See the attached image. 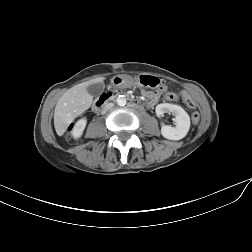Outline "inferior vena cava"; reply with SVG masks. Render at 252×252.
Instances as JSON below:
<instances>
[{
    "mask_svg": "<svg viewBox=\"0 0 252 252\" xmlns=\"http://www.w3.org/2000/svg\"><path fill=\"white\" fill-rule=\"evenodd\" d=\"M111 107H113V103H108V104L105 106V109L107 110V109H109V108H111Z\"/></svg>",
    "mask_w": 252,
    "mask_h": 252,
    "instance_id": "602c4592",
    "label": "inferior vena cava"
}]
</instances>
